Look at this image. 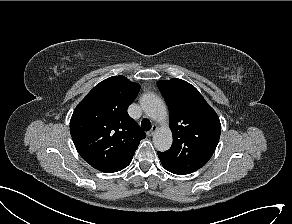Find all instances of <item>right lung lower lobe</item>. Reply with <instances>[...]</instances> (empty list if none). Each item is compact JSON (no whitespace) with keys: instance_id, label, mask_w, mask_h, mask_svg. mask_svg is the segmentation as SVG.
<instances>
[{"instance_id":"98d812e1","label":"right lung lower lobe","mask_w":292,"mask_h":224,"mask_svg":"<svg viewBox=\"0 0 292 224\" xmlns=\"http://www.w3.org/2000/svg\"><path fill=\"white\" fill-rule=\"evenodd\" d=\"M131 161L129 162H126V163H123V164H120L118 166H114L112 168H109V169H106V170H100L102 172H105V173H113V172H117V171H120L124 168H126L129 164H130Z\"/></svg>"}]
</instances>
